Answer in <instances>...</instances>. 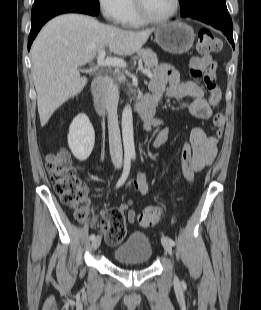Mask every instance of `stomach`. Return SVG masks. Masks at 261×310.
<instances>
[{"instance_id": "stomach-1", "label": "stomach", "mask_w": 261, "mask_h": 310, "mask_svg": "<svg viewBox=\"0 0 261 310\" xmlns=\"http://www.w3.org/2000/svg\"><path fill=\"white\" fill-rule=\"evenodd\" d=\"M194 38L193 29L179 21L163 24L155 31L156 43L171 54L188 52L193 45Z\"/></svg>"}]
</instances>
